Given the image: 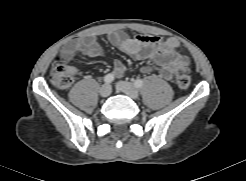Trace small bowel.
Wrapping results in <instances>:
<instances>
[{"label": "small bowel", "mask_w": 246, "mask_h": 181, "mask_svg": "<svg viewBox=\"0 0 246 181\" xmlns=\"http://www.w3.org/2000/svg\"><path fill=\"white\" fill-rule=\"evenodd\" d=\"M111 45L118 47L124 53L139 60H148L159 68V75L165 80H171L177 68L188 66V59L179 52V41L175 38H149L144 36L126 37L122 33H112L108 36ZM100 57L104 55L102 46L95 37L84 36L76 38L66 46L60 57L64 62L73 60L76 56ZM151 66H144L143 73H151ZM113 72L122 75L126 67L119 59L113 60Z\"/></svg>", "instance_id": "1"}]
</instances>
